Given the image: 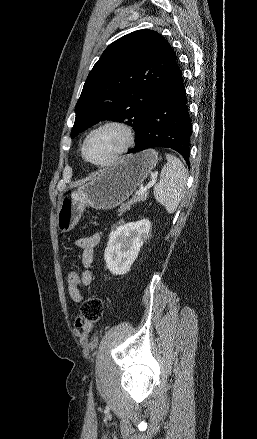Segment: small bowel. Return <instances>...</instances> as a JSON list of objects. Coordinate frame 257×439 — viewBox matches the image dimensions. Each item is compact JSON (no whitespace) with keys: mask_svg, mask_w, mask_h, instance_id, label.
<instances>
[{"mask_svg":"<svg viewBox=\"0 0 257 439\" xmlns=\"http://www.w3.org/2000/svg\"><path fill=\"white\" fill-rule=\"evenodd\" d=\"M100 236L95 233L87 237L79 238L75 241V245L82 249L81 254V268L79 282L76 286L69 285L70 297L80 302L82 300V294L80 289L92 284L93 275L90 271L94 260V247L99 243ZM92 330V324L84 322L81 318H77L75 322L74 334L80 339V343L85 346L88 343L89 334Z\"/></svg>","mask_w":257,"mask_h":439,"instance_id":"c3829d8e","label":"small bowel"}]
</instances>
